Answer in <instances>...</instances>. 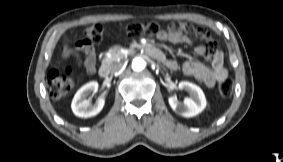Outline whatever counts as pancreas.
I'll return each instance as SVG.
<instances>
[{"mask_svg":"<svg viewBox=\"0 0 283 162\" xmlns=\"http://www.w3.org/2000/svg\"><path fill=\"white\" fill-rule=\"evenodd\" d=\"M110 57L105 56L102 60V65H112L120 59L124 58V54L120 51L119 47H113L109 50Z\"/></svg>","mask_w":283,"mask_h":162,"instance_id":"pancreas-1","label":"pancreas"}]
</instances>
